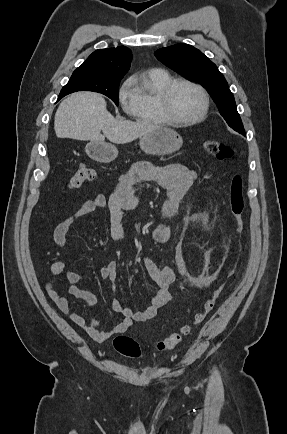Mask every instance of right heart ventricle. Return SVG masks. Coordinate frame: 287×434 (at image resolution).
I'll list each match as a JSON object with an SVG mask.
<instances>
[{"label": "right heart ventricle", "instance_id": "obj_1", "mask_svg": "<svg viewBox=\"0 0 287 434\" xmlns=\"http://www.w3.org/2000/svg\"><path fill=\"white\" fill-rule=\"evenodd\" d=\"M172 79V76L163 69H151L142 73L134 80L137 103L130 114L140 122L168 124L159 107V95L163 87Z\"/></svg>", "mask_w": 287, "mask_h": 434}]
</instances>
